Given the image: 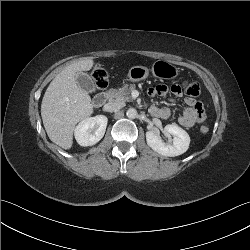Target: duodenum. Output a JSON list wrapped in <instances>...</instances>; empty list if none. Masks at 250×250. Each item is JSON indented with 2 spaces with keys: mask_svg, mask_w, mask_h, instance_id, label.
Instances as JSON below:
<instances>
[{
  "mask_svg": "<svg viewBox=\"0 0 250 250\" xmlns=\"http://www.w3.org/2000/svg\"><path fill=\"white\" fill-rule=\"evenodd\" d=\"M106 100H107V95L105 93H100L94 97L93 104L96 107H100V106L104 105Z\"/></svg>",
  "mask_w": 250,
  "mask_h": 250,
  "instance_id": "410a0bca",
  "label": "duodenum"
}]
</instances>
